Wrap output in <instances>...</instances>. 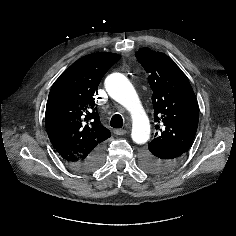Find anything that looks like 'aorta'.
Here are the masks:
<instances>
[{"instance_id": "762f6f07", "label": "aorta", "mask_w": 236, "mask_h": 236, "mask_svg": "<svg viewBox=\"0 0 236 236\" xmlns=\"http://www.w3.org/2000/svg\"><path fill=\"white\" fill-rule=\"evenodd\" d=\"M105 88L115 101L130 112L133 141L137 144L147 142L150 137L149 120L131 82L121 73H112L105 80Z\"/></svg>"}]
</instances>
